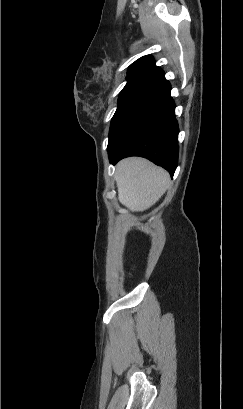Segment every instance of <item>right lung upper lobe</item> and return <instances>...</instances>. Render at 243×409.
<instances>
[{
    "mask_svg": "<svg viewBox=\"0 0 243 409\" xmlns=\"http://www.w3.org/2000/svg\"><path fill=\"white\" fill-rule=\"evenodd\" d=\"M139 78L155 79L162 82L165 80L163 70L155 65L151 55L143 56L130 65L127 80Z\"/></svg>",
    "mask_w": 243,
    "mask_h": 409,
    "instance_id": "1",
    "label": "right lung upper lobe"
}]
</instances>
